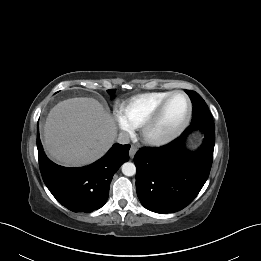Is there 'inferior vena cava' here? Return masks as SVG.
<instances>
[{
    "instance_id": "1",
    "label": "inferior vena cava",
    "mask_w": 261,
    "mask_h": 261,
    "mask_svg": "<svg viewBox=\"0 0 261 261\" xmlns=\"http://www.w3.org/2000/svg\"><path fill=\"white\" fill-rule=\"evenodd\" d=\"M117 142L120 144H128L130 142V136L126 132H121L118 135Z\"/></svg>"
}]
</instances>
